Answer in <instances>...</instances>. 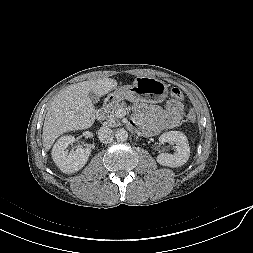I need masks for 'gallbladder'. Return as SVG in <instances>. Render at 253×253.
I'll return each instance as SVG.
<instances>
[{
  "label": "gallbladder",
  "instance_id": "obj_1",
  "mask_svg": "<svg viewBox=\"0 0 253 253\" xmlns=\"http://www.w3.org/2000/svg\"><path fill=\"white\" fill-rule=\"evenodd\" d=\"M88 97L93 103L97 102L99 99L98 95L95 94L93 91L88 93Z\"/></svg>",
  "mask_w": 253,
  "mask_h": 253
}]
</instances>
